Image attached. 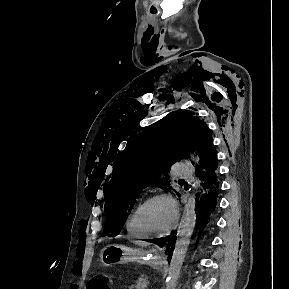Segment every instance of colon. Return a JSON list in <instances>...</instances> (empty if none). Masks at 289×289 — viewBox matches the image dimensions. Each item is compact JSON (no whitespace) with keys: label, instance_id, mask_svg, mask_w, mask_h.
<instances>
[{"label":"colon","instance_id":"5ec220e1","mask_svg":"<svg viewBox=\"0 0 289 289\" xmlns=\"http://www.w3.org/2000/svg\"><path fill=\"white\" fill-rule=\"evenodd\" d=\"M86 289H109L108 281L104 276L96 275L88 281Z\"/></svg>","mask_w":289,"mask_h":289}]
</instances>
